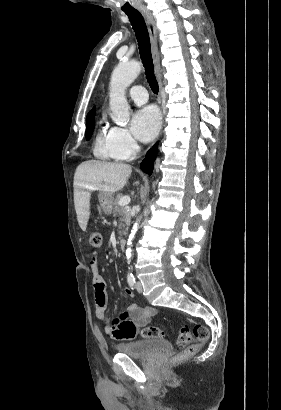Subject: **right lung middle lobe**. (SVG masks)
I'll use <instances>...</instances> for the list:
<instances>
[{
    "label": "right lung middle lobe",
    "mask_w": 281,
    "mask_h": 410,
    "mask_svg": "<svg viewBox=\"0 0 281 410\" xmlns=\"http://www.w3.org/2000/svg\"><path fill=\"white\" fill-rule=\"evenodd\" d=\"M94 116L88 117L86 119V139L89 140L91 138L92 132L94 130Z\"/></svg>",
    "instance_id": "obj_1"
}]
</instances>
